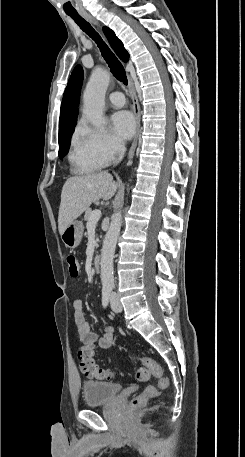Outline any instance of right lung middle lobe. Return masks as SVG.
Segmentation results:
<instances>
[{
  "label": "right lung middle lobe",
  "mask_w": 245,
  "mask_h": 457,
  "mask_svg": "<svg viewBox=\"0 0 245 457\" xmlns=\"http://www.w3.org/2000/svg\"><path fill=\"white\" fill-rule=\"evenodd\" d=\"M75 125L76 122L59 128L58 141L60 158H63L68 153L70 147V138L74 131Z\"/></svg>",
  "instance_id": "right-lung-middle-lobe-1"
}]
</instances>
